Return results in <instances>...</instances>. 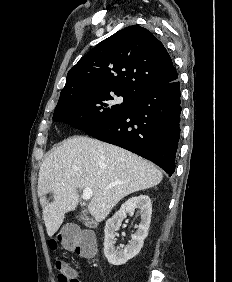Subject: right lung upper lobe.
<instances>
[{"mask_svg": "<svg viewBox=\"0 0 232 282\" xmlns=\"http://www.w3.org/2000/svg\"><path fill=\"white\" fill-rule=\"evenodd\" d=\"M178 78L164 45L147 29L133 25L108 37L70 69L59 101L77 94L127 91Z\"/></svg>", "mask_w": 232, "mask_h": 282, "instance_id": "obj_1", "label": "right lung upper lobe"}]
</instances>
